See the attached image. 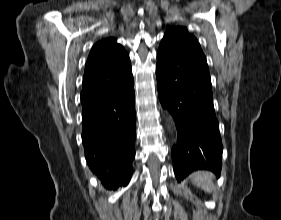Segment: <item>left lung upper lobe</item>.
I'll list each match as a JSON object with an SVG mask.
<instances>
[{
    "label": "left lung upper lobe",
    "instance_id": "5c2ea615",
    "mask_svg": "<svg viewBox=\"0 0 281 220\" xmlns=\"http://www.w3.org/2000/svg\"><path fill=\"white\" fill-rule=\"evenodd\" d=\"M157 54L163 56L183 55L192 61L208 67L200 44L192 34L188 33L185 27L176 26L168 28L160 43Z\"/></svg>",
    "mask_w": 281,
    "mask_h": 220
}]
</instances>
